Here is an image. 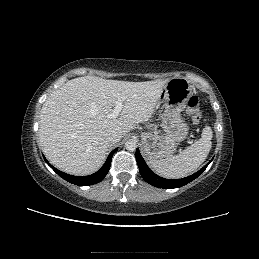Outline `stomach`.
<instances>
[{
    "label": "stomach",
    "mask_w": 259,
    "mask_h": 259,
    "mask_svg": "<svg viewBox=\"0 0 259 259\" xmlns=\"http://www.w3.org/2000/svg\"><path fill=\"white\" fill-rule=\"evenodd\" d=\"M193 95V87L185 78L170 79L162 90L160 103L164 106L161 124L164 135L147 132L142 135L143 152L147 159L158 160L169 157L188 135L189 126L182 118Z\"/></svg>",
    "instance_id": "stomach-1"
}]
</instances>
